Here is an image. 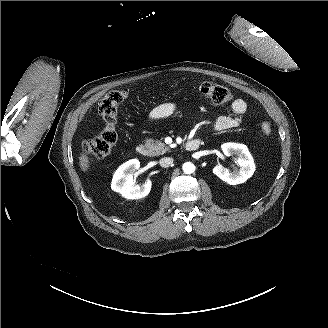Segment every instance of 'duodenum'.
<instances>
[{
    "instance_id": "obj_1",
    "label": "duodenum",
    "mask_w": 328,
    "mask_h": 328,
    "mask_svg": "<svg viewBox=\"0 0 328 328\" xmlns=\"http://www.w3.org/2000/svg\"><path fill=\"white\" fill-rule=\"evenodd\" d=\"M201 141L200 139H191L185 144V150L187 151H195L200 147ZM136 152L141 156H146L148 154V149L144 144H139L136 147Z\"/></svg>"
}]
</instances>
